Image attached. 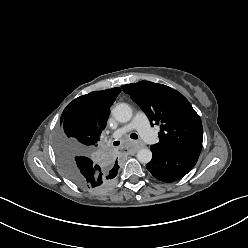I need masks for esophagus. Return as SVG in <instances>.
I'll use <instances>...</instances> for the list:
<instances>
[{"instance_id": "esophagus-1", "label": "esophagus", "mask_w": 248, "mask_h": 248, "mask_svg": "<svg viewBox=\"0 0 248 248\" xmlns=\"http://www.w3.org/2000/svg\"><path fill=\"white\" fill-rule=\"evenodd\" d=\"M141 146H142L141 144H135V145L132 147V149L136 151V150H138Z\"/></svg>"}]
</instances>
